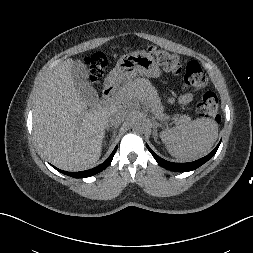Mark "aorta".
I'll list each match as a JSON object with an SVG mask.
<instances>
[{"label": "aorta", "mask_w": 253, "mask_h": 253, "mask_svg": "<svg viewBox=\"0 0 253 253\" xmlns=\"http://www.w3.org/2000/svg\"><path fill=\"white\" fill-rule=\"evenodd\" d=\"M147 129V123L142 117H136L133 122V130L135 132H144Z\"/></svg>", "instance_id": "aorta-1"}]
</instances>
